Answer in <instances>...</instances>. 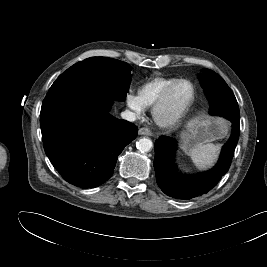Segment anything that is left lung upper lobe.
Instances as JSON below:
<instances>
[{"mask_svg":"<svg viewBox=\"0 0 267 267\" xmlns=\"http://www.w3.org/2000/svg\"><path fill=\"white\" fill-rule=\"evenodd\" d=\"M201 86L210 103V114L217 113L218 110H227L232 105H236V98L226 82L214 71L205 69L199 75Z\"/></svg>","mask_w":267,"mask_h":267,"instance_id":"5c2ea615","label":"left lung upper lobe"}]
</instances>
